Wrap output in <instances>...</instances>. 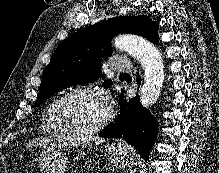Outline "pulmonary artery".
<instances>
[{
    "mask_svg": "<svg viewBox=\"0 0 219 173\" xmlns=\"http://www.w3.org/2000/svg\"><path fill=\"white\" fill-rule=\"evenodd\" d=\"M110 67L114 71H130L131 70V62L128 58L122 57H114L110 61Z\"/></svg>",
    "mask_w": 219,
    "mask_h": 173,
    "instance_id": "e3ab8cb5",
    "label": "pulmonary artery"
}]
</instances>
